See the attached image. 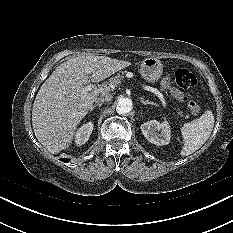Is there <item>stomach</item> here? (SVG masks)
Instances as JSON below:
<instances>
[{"label":"stomach","instance_id":"1","mask_svg":"<svg viewBox=\"0 0 233 233\" xmlns=\"http://www.w3.org/2000/svg\"><path fill=\"white\" fill-rule=\"evenodd\" d=\"M140 74L146 81L154 83L158 81L163 74V64L155 57L145 58L141 62Z\"/></svg>","mask_w":233,"mask_h":233}]
</instances>
